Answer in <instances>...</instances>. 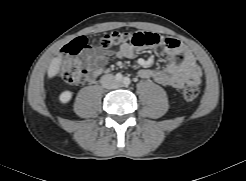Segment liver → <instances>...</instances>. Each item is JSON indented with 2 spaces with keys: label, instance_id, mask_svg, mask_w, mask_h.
I'll list each match as a JSON object with an SVG mask.
<instances>
[{
  "label": "liver",
  "instance_id": "6515ba94",
  "mask_svg": "<svg viewBox=\"0 0 246 181\" xmlns=\"http://www.w3.org/2000/svg\"><path fill=\"white\" fill-rule=\"evenodd\" d=\"M60 64H61V58H54L49 66L48 69V77L52 78L54 76H56V74L59 72V68H60Z\"/></svg>",
  "mask_w": 246,
  "mask_h": 181
}]
</instances>
